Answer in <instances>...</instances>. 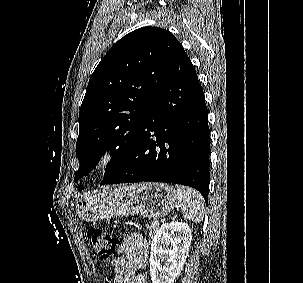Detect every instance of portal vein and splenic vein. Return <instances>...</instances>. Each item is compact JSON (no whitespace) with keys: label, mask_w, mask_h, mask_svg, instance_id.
<instances>
[{"label":"portal vein and splenic vein","mask_w":303,"mask_h":283,"mask_svg":"<svg viewBox=\"0 0 303 283\" xmlns=\"http://www.w3.org/2000/svg\"><path fill=\"white\" fill-rule=\"evenodd\" d=\"M161 221L164 222V219H162ZM154 222H155L156 224H159V221H158V220H154Z\"/></svg>","instance_id":"portal-vein-and-splenic-vein-1"}]
</instances>
